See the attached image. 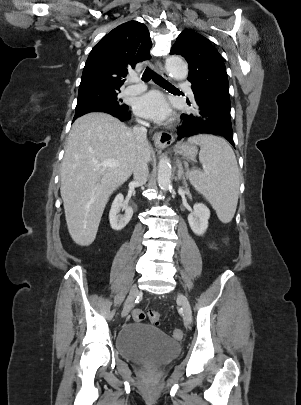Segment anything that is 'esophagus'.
I'll return each mask as SVG.
<instances>
[{
	"mask_svg": "<svg viewBox=\"0 0 301 405\" xmlns=\"http://www.w3.org/2000/svg\"><path fill=\"white\" fill-rule=\"evenodd\" d=\"M157 71L160 75H162L164 78H168L167 73L165 72L164 68L162 67L161 64L155 63ZM154 142L158 147L165 148L169 145H171L174 141L173 135L171 133L167 132H158L155 133L153 136Z\"/></svg>",
	"mask_w": 301,
	"mask_h": 405,
	"instance_id": "obj_1",
	"label": "esophagus"
}]
</instances>
